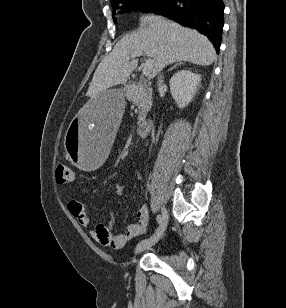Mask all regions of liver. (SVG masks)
I'll return each instance as SVG.
<instances>
[{"label": "liver", "instance_id": "1", "mask_svg": "<svg viewBox=\"0 0 286 308\" xmlns=\"http://www.w3.org/2000/svg\"><path fill=\"white\" fill-rule=\"evenodd\" d=\"M135 51H143L153 59L152 76L174 62L208 66L216 59L211 42L196 30L159 16L143 17L139 31L123 37L101 60L87 92L92 101L108 88L127 82L138 64V60L128 59Z\"/></svg>", "mask_w": 286, "mask_h": 308}]
</instances>
